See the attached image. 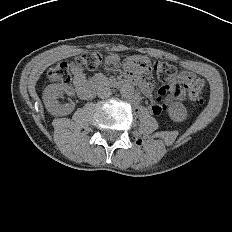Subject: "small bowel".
I'll return each mask as SVG.
<instances>
[{"mask_svg": "<svg viewBox=\"0 0 232 232\" xmlns=\"http://www.w3.org/2000/svg\"><path fill=\"white\" fill-rule=\"evenodd\" d=\"M105 66L110 71L123 67L128 73L134 74L137 79L143 82L148 81L153 72V64L146 57L124 58L123 56L111 55L105 58ZM85 82L86 77L84 73L79 69L74 70V85L76 89ZM190 83L203 85V81L192 73L186 71L180 72L165 86L159 88L156 99L153 98L151 87L147 84L146 90L143 91L147 101L150 103L152 112L159 114L168 102L182 101L185 97L186 86Z\"/></svg>", "mask_w": 232, "mask_h": 232, "instance_id": "small-bowel-1", "label": "small bowel"}]
</instances>
